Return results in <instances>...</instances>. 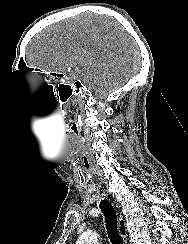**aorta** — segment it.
I'll use <instances>...</instances> for the list:
<instances>
[{"label": "aorta", "instance_id": "obj_1", "mask_svg": "<svg viewBox=\"0 0 188 244\" xmlns=\"http://www.w3.org/2000/svg\"><path fill=\"white\" fill-rule=\"evenodd\" d=\"M97 240V233L91 230H87L79 236L76 244H98Z\"/></svg>", "mask_w": 188, "mask_h": 244}]
</instances>
